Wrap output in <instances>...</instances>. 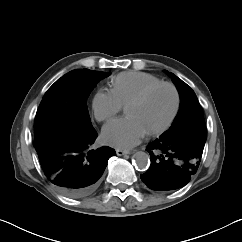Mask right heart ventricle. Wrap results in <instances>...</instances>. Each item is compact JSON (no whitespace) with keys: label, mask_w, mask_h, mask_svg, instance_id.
Segmentation results:
<instances>
[{"label":"right heart ventricle","mask_w":242,"mask_h":242,"mask_svg":"<svg viewBox=\"0 0 242 242\" xmlns=\"http://www.w3.org/2000/svg\"><path fill=\"white\" fill-rule=\"evenodd\" d=\"M161 81L158 77L139 71L122 72L112 79V90L122 104H127L146 87Z\"/></svg>","instance_id":"1"}]
</instances>
